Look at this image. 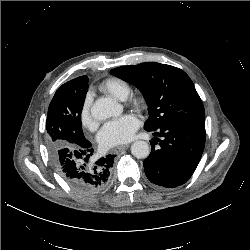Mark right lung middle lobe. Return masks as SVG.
<instances>
[{
	"label": "right lung middle lobe",
	"instance_id": "right-lung-middle-lobe-1",
	"mask_svg": "<svg viewBox=\"0 0 250 250\" xmlns=\"http://www.w3.org/2000/svg\"><path fill=\"white\" fill-rule=\"evenodd\" d=\"M88 81L84 75L63 84L51 100L46 120V143L50 153L65 147L74 148L87 140L82 131L81 112Z\"/></svg>",
	"mask_w": 250,
	"mask_h": 250
}]
</instances>
